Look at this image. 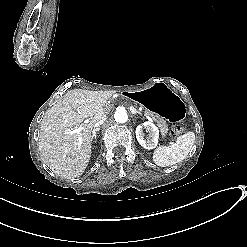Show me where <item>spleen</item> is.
<instances>
[{
	"mask_svg": "<svg viewBox=\"0 0 247 247\" xmlns=\"http://www.w3.org/2000/svg\"><path fill=\"white\" fill-rule=\"evenodd\" d=\"M196 136L193 131L181 134L169 146L159 145L152 155L153 162L159 167H169L187 158Z\"/></svg>",
	"mask_w": 247,
	"mask_h": 247,
	"instance_id": "3e777b00",
	"label": "spleen"
}]
</instances>
